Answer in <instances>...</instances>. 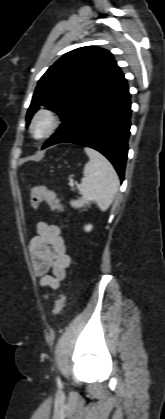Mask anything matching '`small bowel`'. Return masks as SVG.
Wrapping results in <instances>:
<instances>
[{"label":"small bowel","mask_w":165,"mask_h":419,"mask_svg":"<svg viewBox=\"0 0 165 419\" xmlns=\"http://www.w3.org/2000/svg\"><path fill=\"white\" fill-rule=\"evenodd\" d=\"M28 250L40 286L57 290L71 265L60 228L46 221L38 222L37 234L30 240Z\"/></svg>","instance_id":"obj_1"}]
</instances>
